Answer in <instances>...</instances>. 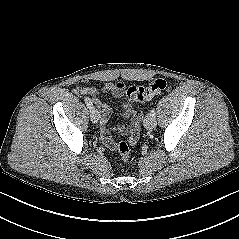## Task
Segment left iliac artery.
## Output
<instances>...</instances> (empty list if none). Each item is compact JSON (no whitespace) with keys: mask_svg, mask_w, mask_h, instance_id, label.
Returning <instances> with one entry per match:
<instances>
[{"mask_svg":"<svg viewBox=\"0 0 239 239\" xmlns=\"http://www.w3.org/2000/svg\"><path fill=\"white\" fill-rule=\"evenodd\" d=\"M150 115H152L153 117H155L156 112H155V109H154V108L150 111Z\"/></svg>","mask_w":239,"mask_h":239,"instance_id":"1","label":"left iliac artery"}]
</instances>
